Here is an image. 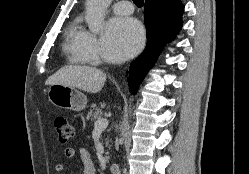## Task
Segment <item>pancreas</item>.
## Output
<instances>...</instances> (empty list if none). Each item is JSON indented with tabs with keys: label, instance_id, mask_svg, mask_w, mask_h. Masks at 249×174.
I'll use <instances>...</instances> for the list:
<instances>
[{
	"label": "pancreas",
	"instance_id": "1",
	"mask_svg": "<svg viewBox=\"0 0 249 174\" xmlns=\"http://www.w3.org/2000/svg\"><path fill=\"white\" fill-rule=\"evenodd\" d=\"M103 112L100 107H98L96 104L91 105V110L88 113V117H91L92 120L100 119L102 116ZM109 143L108 141L106 142V146H108ZM106 161H109V156L107 155L105 157Z\"/></svg>",
	"mask_w": 249,
	"mask_h": 174
}]
</instances>
